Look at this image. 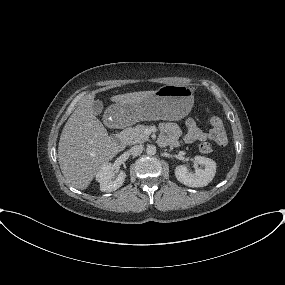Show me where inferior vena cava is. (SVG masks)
<instances>
[{"mask_svg":"<svg viewBox=\"0 0 285 285\" xmlns=\"http://www.w3.org/2000/svg\"><path fill=\"white\" fill-rule=\"evenodd\" d=\"M143 151V145H135L133 147H131L130 149V153L133 156H138L142 153Z\"/></svg>","mask_w":285,"mask_h":285,"instance_id":"inferior-vena-cava-1","label":"inferior vena cava"}]
</instances>
